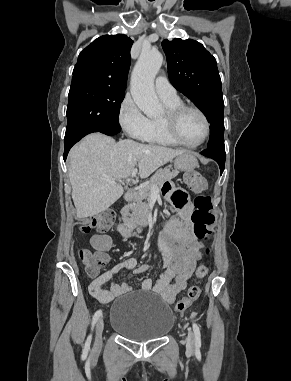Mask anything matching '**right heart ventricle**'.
Returning a JSON list of instances; mask_svg holds the SVG:
<instances>
[{"label": "right heart ventricle", "mask_w": 291, "mask_h": 381, "mask_svg": "<svg viewBox=\"0 0 291 381\" xmlns=\"http://www.w3.org/2000/svg\"><path fill=\"white\" fill-rule=\"evenodd\" d=\"M162 100L166 105L167 109L182 104L179 98L174 100ZM148 120V129L144 137L142 138L144 142L162 146H178V144L174 142L165 132L161 121V117H154Z\"/></svg>", "instance_id": "obj_1"}]
</instances>
